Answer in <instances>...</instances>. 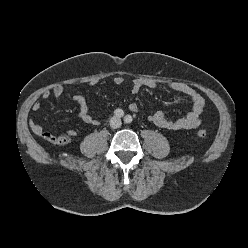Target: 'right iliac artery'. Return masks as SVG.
I'll return each mask as SVG.
<instances>
[{
	"instance_id": "right-iliac-artery-1",
	"label": "right iliac artery",
	"mask_w": 248,
	"mask_h": 248,
	"mask_svg": "<svg viewBox=\"0 0 248 248\" xmlns=\"http://www.w3.org/2000/svg\"><path fill=\"white\" fill-rule=\"evenodd\" d=\"M114 115H115L116 117H118V118H121V117L124 116V111H123L122 109H116V110L114 111Z\"/></svg>"
}]
</instances>
